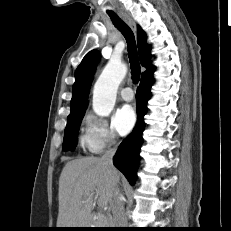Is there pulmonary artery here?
Segmentation results:
<instances>
[{"label":"pulmonary artery","instance_id":"obj_1","mask_svg":"<svg viewBox=\"0 0 231 231\" xmlns=\"http://www.w3.org/2000/svg\"><path fill=\"white\" fill-rule=\"evenodd\" d=\"M120 95H121L122 99L125 101H131L134 98L133 91L130 87L123 88L120 91Z\"/></svg>","mask_w":231,"mask_h":231}]
</instances>
